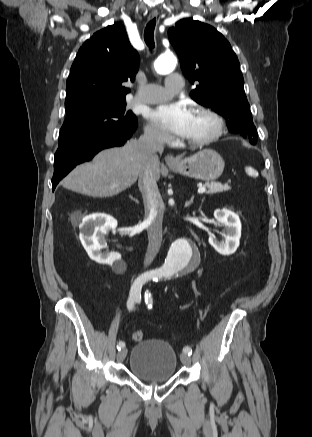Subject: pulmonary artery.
<instances>
[{
	"label": "pulmonary artery",
	"instance_id": "e3ab8cb5",
	"mask_svg": "<svg viewBox=\"0 0 312 437\" xmlns=\"http://www.w3.org/2000/svg\"><path fill=\"white\" fill-rule=\"evenodd\" d=\"M184 85V80L179 74H171L166 77L165 85L151 84L136 90L135 101L138 103H158L171 98L178 93Z\"/></svg>",
	"mask_w": 312,
	"mask_h": 437
}]
</instances>
